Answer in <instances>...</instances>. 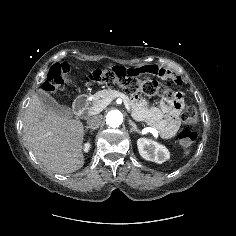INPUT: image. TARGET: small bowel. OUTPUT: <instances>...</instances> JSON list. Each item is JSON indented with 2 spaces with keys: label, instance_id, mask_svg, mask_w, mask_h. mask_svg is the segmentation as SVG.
Here are the masks:
<instances>
[{
  "label": "small bowel",
  "instance_id": "obj_1",
  "mask_svg": "<svg viewBox=\"0 0 236 236\" xmlns=\"http://www.w3.org/2000/svg\"><path fill=\"white\" fill-rule=\"evenodd\" d=\"M117 72L122 77L130 79H151L155 75L179 83V79L175 78L169 71L154 66H128L122 64L118 67ZM182 108V101L166 102L163 101L159 108L148 107L144 102L139 101L136 104L135 115L146 121L148 124L158 130L164 138L175 136L179 128V114Z\"/></svg>",
  "mask_w": 236,
  "mask_h": 236
}]
</instances>
